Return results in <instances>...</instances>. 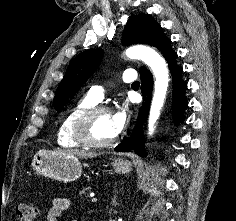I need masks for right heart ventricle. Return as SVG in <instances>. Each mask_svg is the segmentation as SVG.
I'll return each instance as SVG.
<instances>
[{
	"label": "right heart ventricle",
	"mask_w": 236,
	"mask_h": 221,
	"mask_svg": "<svg viewBox=\"0 0 236 221\" xmlns=\"http://www.w3.org/2000/svg\"><path fill=\"white\" fill-rule=\"evenodd\" d=\"M95 105H97V102L91 99L89 95H86L78 100L76 104L66 112L57 130V143L60 147L64 149H76L82 147V145L73 137L74 125L77 119L86 110Z\"/></svg>",
	"instance_id": "obj_1"
}]
</instances>
